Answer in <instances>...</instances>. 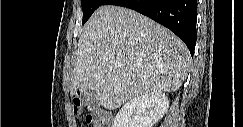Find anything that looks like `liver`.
I'll list each match as a JSON object with an SVG mask.
<instances>
[{
	"instance_id": "1",
	"label": "liver",
	"mask_w": 243,
	"mask_h": 127,
	"mask_svg": "<svg viewBox=\"0 0 243 127\" xmlns=\"http://www.w3.org/2000/svg\"><path fill=\"white\" fill-rule=\"evenodd\" d=\"M182 40L150 18L120 6L98 8L86 23L73 59L71 95L96 92L106 109L152 92H175L189 69Z\"/></svg>"
}]
</instances>
